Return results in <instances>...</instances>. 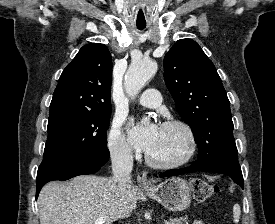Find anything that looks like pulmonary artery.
Masks as SVG:
<instances>
[{"mask_svg":"<svg viewBox=\"0 0 275 224\" xmlns=\"http://www.w3.org/2000/svg\"><path fill=\"white\" fill-rule=\"evenodd\" d=\"M161 102V95L157 89L149 88L137 99V103L144 107L154 108Z\"/></svg>","mask_w":275,"mask_h":224,"instance_id":"e3ab8cb5","label":"pulmonary artery"}]
</instances>
